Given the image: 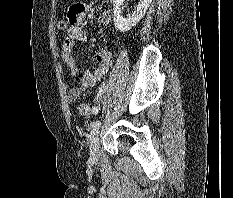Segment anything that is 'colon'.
<instances>
[{
	"label": "colon",
	"instance_id": "obj_1",
	"mask_svg": "<svg viewBox=\"0 0 233 198\" xmlns=\"http://www.w3.org/2000/svg\"><path fill=\"white\" fill-rule=\"evenodd\" d=\"M57 28L61 31L65 30L67 28V22L64 19L58 20ZM99 104V99H95L93 102L84 99L79 105V112L81 115H89L91 112L98 109Z\"/></svg>",
	"mask_w": 233,
	"mask_h": 198
}]
</instances>
